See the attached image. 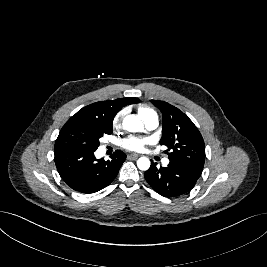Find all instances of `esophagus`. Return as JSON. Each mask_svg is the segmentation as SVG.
Segmentation results:
<instances>
[{
  "mask_svg": "<svg viewBox=\"0 0 267 267\" xmlns=\"http://www.w3.org/2000/svg\"><path fill=\"white\" fill-rule=\"evenodd\" d=\"M138 157H139V155L136 153H132V154L128 155V158H130V159H137Z\"/></svg>",
  "mask_w": 267,
  "mask_h": 267,
  "instance_id": "34e87169",
  "label": "esophagus"
}]
</instances>
